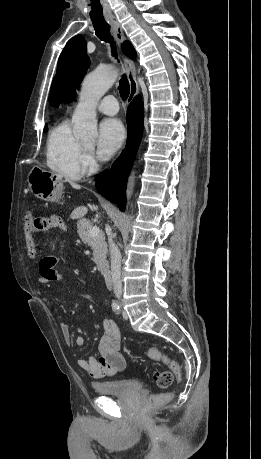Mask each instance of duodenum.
<instances>
[{
    "instance_id": "1",
    "label": "duodenum",
    "mask_w": 261,
    "mask_h": 459,
    "mask_svg": "<svg viewBox=\"0 0 261 459\" xmlns=\"http://www.w3.org/2000/svg\"><path fill=\"white\" fill-rule=\"evenodd\" d=\"M100 270H101L102 274L104 275V277H105L107 283H108L109 285H111V283H112V276H111L110 268H109L108 266H106V265H101V266H100Z\"/></svg>"
}]
</instances>
